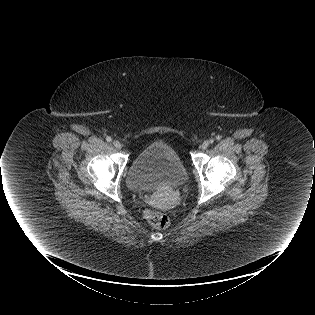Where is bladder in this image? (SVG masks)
Here are the masks:
<instances>
[{"label":"bladder","mask_w":315,"mask_h":315,"mask_svg":"<svg viewBox=\"0 0 315 315\" xmlns=\"http://www.w3.org/2000/svg\"><path fill=\"white\" fill-rule=\"evenodd\" d=\"M187 177V169L177 151L166 142L156 141L134 157L127 183L136 191H154L165 186H182Z\"/></svg>","instance_id":"obj_1"}]
</instances>
